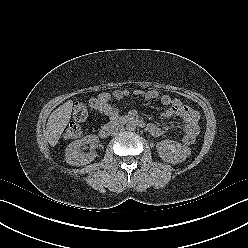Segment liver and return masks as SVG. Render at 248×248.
<instances>
[{
	"label": "liver",
	"instance_id": "1",
	"mask_svg": "<svg viewBox=\"0 0 248 248\" xmlns=\"http://www.w3.org/2000/svg\"><path fill=\"white\" fill-rule=\"evenodd\" d=\"M72 107L73 102L69 100L55 109L49 116L45 133L50 146L54 147L57 145L62 132L70 121Z\"/></svg>",
	"mask_w": 248,
	"mask_h": 248
}]
</instances>
